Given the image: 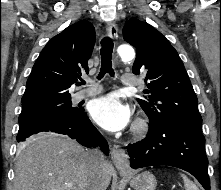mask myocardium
<instances>
[{"label": "myocardium", "instance_id": "f54148a6", "mask_svg": "<svg viewBox=\"0 0 221 190\" xmlns=\"http://www.w3.org/2000/svg\"><path fill=\"white\" fill-rule=\"evenodd\" d=\"M148 130V122L145 118H139L133 127V133L137 136L144 135Z\"/></svg>", "mask_w": 221, "mask_h": 190}]
</instances>
